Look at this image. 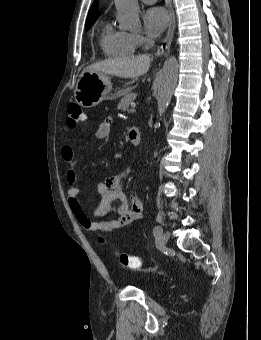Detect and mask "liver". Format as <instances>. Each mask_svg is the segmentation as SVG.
<instances>
[{
    "instance_id": "obj_1",
    "label": "liver",
    "mask_w": 261,
    "mask_h": 340,
    "mask_svg": "<svg viewBox=\"0 0 261 340\" xmlns=\"http://www.w3.org/2000/svg\"><path fill=\"white\" fill-rule=\"evenodd\" d=\"M150 62L149 55L105 59L88 66L85 70L115 75L122 78H135L148 72Z\"/></svg>"
}]
</instances>
